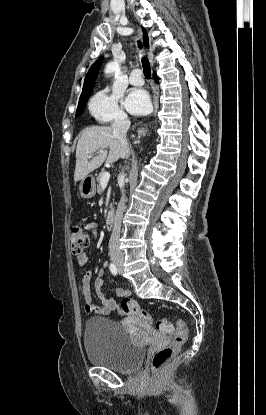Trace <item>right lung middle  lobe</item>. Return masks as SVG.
Returning <instances> with one entry per match:
<instances>
[{"instance_id":"dd1d6c3e","label":"right lung middle lobe","mask_w":266,"mask_h":415,"mask_svg":"<svg viewBox=\"0 0 266 415\" xmlns=\"http://www.w3.org/2000/svg\"><path fill=\"white\" fill-rule=\"evenodd\" d=\"M90 94L91 93H88V94L80 97L79 103H78V108H77V112H76L75 117H78V116H80L83 113L84 107H85V102L90 97Z\"/></svg>"}]
</instances>
